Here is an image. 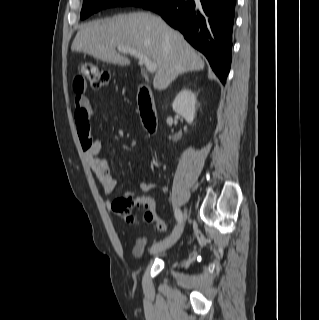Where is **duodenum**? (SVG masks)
<instances>
[{
    "label": "duodenum",
    "instance_id": "410a0bca",
    "mask_svg": "<svg viewBox=\"0 0 319 320\" xmlns=\"http://www.w3.org/2000/svg\"><path fill=\"white\" fill-rule=\"evenodd\" d=\"M138 105L144 127L149 134H154L157 130V117L152 92L147 85L139 86Z\"/></svg>",
    "mask_w": 319,
    "mask_h": 320
}]
</instances>
